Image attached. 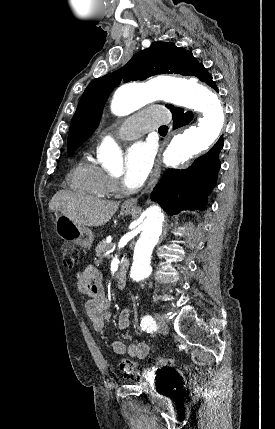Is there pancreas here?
<instances>
[{"mask_svg":"<svg viewBox=\"0 0 275 429\" xmlns=\"http://www.w3.org/2000/svg\"><path fill=\"white\" fill-rule=\"evenodd\" d=\"M113 247V244H108L105 240L101 241L96 247V256L103 258L104 254Z\"/></svg>","mask_w":275,"mask_h":429,"instance_id":"1","label":"pancreas"}]
</instances>
